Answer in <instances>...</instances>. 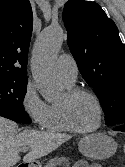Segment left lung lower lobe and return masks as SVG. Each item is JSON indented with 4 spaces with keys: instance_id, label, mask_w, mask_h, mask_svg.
I'll return each mask as SVG.
<instances>
[{
    "instance_id": "1",
    "label": "left lung lower lobe",
    "mask_w": 125,
    "mask_h": 167,
    "mask_svg": "<svg viewBox=\"0 0 125 167\" xmlns=\"http://www.w3.org/2000/svg\"><path fill=\"white\" fill-rule=\"evenodd\" d=\"M113 129L116 131L125 132V124L114 126Z\"/></svg>"
}]
</instances>
